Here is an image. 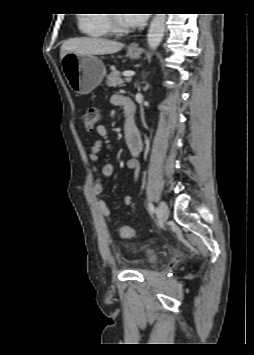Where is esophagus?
Returning <instances> with one entry per match:
<instances>
[{"instance_id": "obj_1", "label": "esophagus", "mask_w": 254, "mask_h": 355, "mask_svg": "<svg viewBox=\"0 0 254 355\" xmlns=\"http://www.w3.org/2000/svg\"><path fill=\"white\" fill-rule=\"evenodd\" d=\"M131 47H132L133 49H137V48H138V44H137V43H132V44H131Z\"/></svg>"}]
</instances>
